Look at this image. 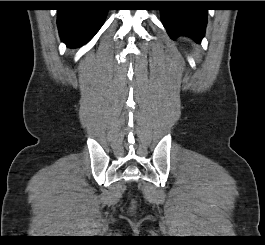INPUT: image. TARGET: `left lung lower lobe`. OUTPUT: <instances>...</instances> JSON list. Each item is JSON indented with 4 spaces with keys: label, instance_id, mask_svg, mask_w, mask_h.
I'll return each instance as SVG.
<instances>
[{
    "label": "left lung lower lobe",
    "instance_id": "obj_1",
    "mask_svg": "<svg viewBox=\"0 0 265 245\" xmlns=\"http://www.w3.org/2000/svg\"><path fill=\"white\" fill-rule=\"evenodd\" d=\"M164 27L172 39L180 35L200 43L205 34L207 10L197 8H169L161 10Z\"/></svg>",
    "mask_w": 265,
    "mask_h": 245
}]
</instances>
